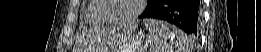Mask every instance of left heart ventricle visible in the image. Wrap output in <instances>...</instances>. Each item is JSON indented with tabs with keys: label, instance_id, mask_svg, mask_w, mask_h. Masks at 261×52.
Here are the masks:
<instances>
[{
	"label": "left heart ventricle",
	"instance_id": "b2bd125f",
	"mask_svg": "<svg viewBox=\"0 0 261 52\" xmlns=\"http://www.w3.org/2000/svg\"><path fill=\"white\" fill-rule=\"evenodd\" d=\"M110 2L111 9L108 11V17L123 19L136 9L138 0H110Z\"/></svg>",
	"mask_w": 261,
	"mask_h": 52
}]
</instances>
